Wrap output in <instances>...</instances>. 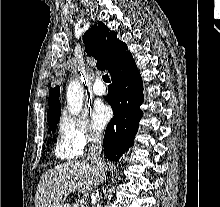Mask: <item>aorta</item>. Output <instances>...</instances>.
I'll return each instance as SVG.
<instances>
[{
  "label": "aorta",
  "mask_w": 220,
  "mask_h": 207,
  "mask_svg": "<svg viewBox=\"0 0 220 207\" xmlns=\"http://www.w3.org/2000/svg\"><path fill=\"white\" fill-rule=\"evenodd\" d=\"M66 98L68 112L72 115L79 114L83 106V89L79 80L75 79L69 83Z\"/></svg>",
  "instance_id": "762f6f07"
}]
</instances>
